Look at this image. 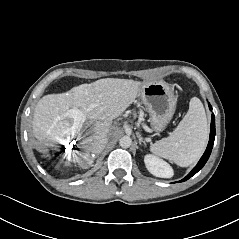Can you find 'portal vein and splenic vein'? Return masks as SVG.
Segmentation results:
<instances>
[{
    "label": "portal vein and splenic vein",
    "instance_id": "1",
    "mask_svg": "<svg viewBox=\"0 0 239 239\" xmlns=\"http://www.w3.org/2000/svg\"><path fill=\"white\" fill-rule=\"evenodd\" d=\"M65 116L73 119V125L69 129H67L66 133H68L69 135H74L77 131H79V127L85 121V114L83 111L77 108H73L67 110ZM144 128L147 130L145 126Z\"/></svg>",
    "mask_w": 239,
    "mask_h": 239
}]
</instances>
